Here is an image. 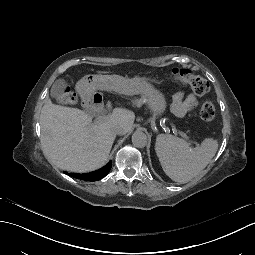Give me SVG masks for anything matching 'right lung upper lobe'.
Segmentation results:
<instances>
[{"label":"right lung upper lobe","mask_w":255,"mask_h":255,"mask_svg":"<svg viewBox=\"0 0 255 255\" xmlns=\"http://www.w3.org/2000/svg\"><path fill=\"white\" fill-rule=\"evenodd\" d=\"M112 167V162H109L108 164H106L104 167H102L101 169L97 170V171H94V172H91V173H85V174H68L70 176H73L75 178H79V179H82V180H88V181H94V180H98L100 179L101 177L107 175L110 171Z\"/></svg>","instance_id":"1"}]
</instances>
